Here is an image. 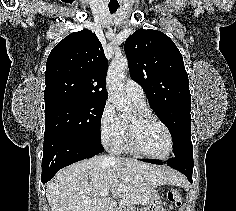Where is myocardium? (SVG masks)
<instances>
[{"label": "myocardium", "mask_w": 236, "mask_h": 211, "mask_svg": "<svg viewBox=\"0 0 236 211\" xmlns=\"http://www.w3.org/2000/svg\"><path fill=\"white\" fill-rule=\"evenodd\" d=\"M134 113H135L136 118L141 122L153 121V122H156L159 125H161L168 136L169 147H168L167 152L163 155H153V154H149V153L142 151L137 145L135 129H134L133 124L130 121L125 120L124 121V126H125L124 137H125V143H126L127 147L133 153H135L141 157H145V158L165 159V158L169 157L174 149V140H173V136H172V133H171L169 127L161 119H159L158 117H156L154 114L150 113L149 111L137 109V110H135Z\"/></svg>", "instance_id": "obj_1"}]
</instances>
